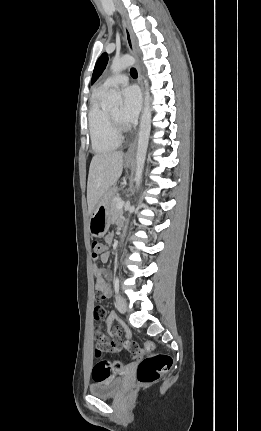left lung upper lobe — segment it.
Here are the masks:
<instances>
[{
	"instance_id": "1",
	"label": "left lung upper lobe",
	"mask_w": 261,
	"mask_h": 431,
	"mask_svg": "<svg viewBox=\"0 0 261 431\" xmlns=\"http://www.w3.org/2000/svg\"><path fill=\"white\" fill-rule=\"evenodd\" d=\"M107 62H108V55H107V53H103L95 65L93 75H92V84L102 74L103 70L106 67Z\"/></svg>"
}]
</instances>
